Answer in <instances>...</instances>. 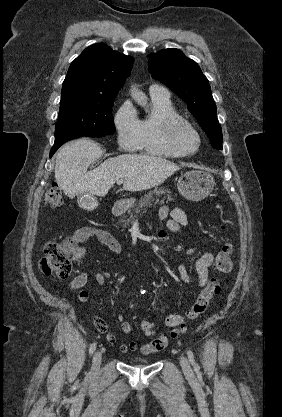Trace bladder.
<instances>
[{
  "instance_id": "31cf9c89",
  "label": "bladder",
  "mask_w": 282,
  "mask_h": 417,
  "mask_svg": "<svg viewBox=\"0 0 282 417\" xmlns=\"http://www.w3.org/2000/svg\"><path fill=\"white\" fill-rule=\"evenodd\" d=\"M135 363H138V364H144V363H146V361L141 360V359H136V360H135Z\"/></svg>"
}]
</instances>
